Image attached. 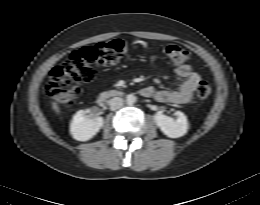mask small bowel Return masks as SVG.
<instances>
[{
    "instance_id": "1",
    "label": "small bowel",
    "mask_w": 260,
    "mask_h": 205,
    "mask_svg": "<svg viewBox=\"0 0 260 205\" xmlns=\"http://www.w3.org/2000/svg\"><path fill=\"white\" fill-rule=\"evenodd\" d=\"M200 75L188 64H181L174 71V81L177 84L175 89H155L147 86L141 89L140 93L144 97L154 98L164 104L185 105L192 99V93Z\"/></svg>"
}]
</instances>
